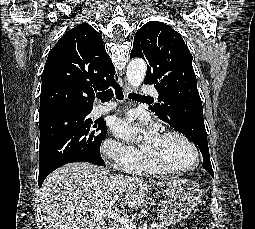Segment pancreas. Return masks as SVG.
I'll use <instances>...</instances> for the list:
<instances>
[{
	"instance_id": "pancreas-1",
	"label": "pancreas",
	"mask_w": 255,
	"mask_h": 229,
	"mask_svg": "<svg viewBox=\"0 0 255 229\" xmlns=\"http://www.w3.org/2000/svg\"><path fill=\"white\" fill-rule=\"evenodd\" d=\"M121 229H127L126 227H122ZM155 229H168V225L159 224Z\"/></svg>"
}]
</instances>
